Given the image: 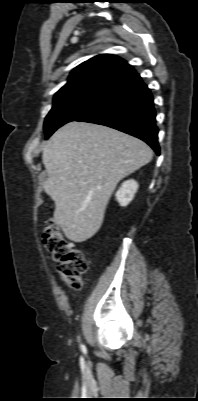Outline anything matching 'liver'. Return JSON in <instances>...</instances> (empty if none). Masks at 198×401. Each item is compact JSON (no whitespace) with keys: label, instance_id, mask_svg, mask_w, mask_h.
Returning a JSON list of instances; mask_svg holds the SVG:
<instances>
[{"label":"liver","instance_id":"obj_1","mask_svg":"<svg viewBox=\"0 0 198 401\" xmlns=\"http://www.w3.org/2000/svg\"><path fill=\"white\" fill-rule=\"evenodd\" d=\"M153 152L121 131L86 122L59 128L43 149L45 192L55 202L54 222L80 243L100 229L120 180L149 163Z\"/></svg>","mask_w":198,"mask_h":401}]
</instances>
